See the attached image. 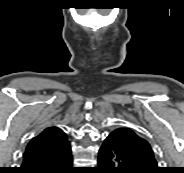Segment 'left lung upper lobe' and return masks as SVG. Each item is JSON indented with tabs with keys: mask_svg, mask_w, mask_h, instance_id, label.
Instances as JSON below:
<instances>
[{
	"mask_svg": "<svg viewBox=\"0 0 184 173\" xmlns=\"http://www.w3.org/2000/svg\"><path fill=\"white\" fill-rule=\"evenodd\" d=\"M114 132L119 133V143L121 147L130 155L139 168L147 173L160 172L153 150L145 139L137 135L130 128H119Z\"/></svg>",
	"mask_w": 184,
	"mask_h": 173,
	"instance_id": "left-lung-upper-lobe-1",
	"label": "left lung upper lobe"
}]
</instances>
